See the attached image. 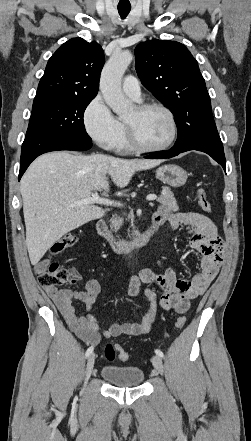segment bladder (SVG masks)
I'll use <instances>...</instances> for the list:
<instances>
[{
    "label": "bladder",
    "instance_id": "obj_1",
    "mask_svg": "<svg viewBox=\"0 0 251 441\" xmlns=\"http://www.w3.org/2000/svg\"><path fill=\"white\" fill-rule=\"evenodd\" d=\"M101 376L106 382L117 387L139 386L145 379L142 369L118 365H105L101 369Z\"/></svg>",
    "mask_w": 251,
    "mask_h": 441
}]
</instances>
